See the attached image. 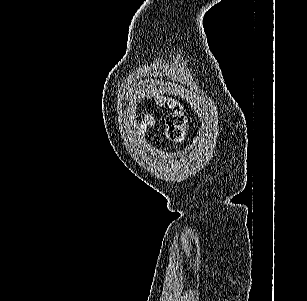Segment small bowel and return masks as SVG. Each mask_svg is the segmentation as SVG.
Here are the masks:
<instances>
[{"mask_svg": "<svg viewBox=\"0 0 307 301\" xmlns=\"http://www.w3.org/2000/svg\"><path fill=\"white\" fill-rule=\"evenodd\" d=\"M156 127L155 117L151 114H145L143 121L141 122V131L146 133L149 129H154Z\"/></svg>", "mask_w": 307, "mask_h": 301, "instance_id": "1", "label": "small bowel"}]
</instances>
